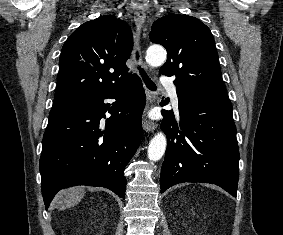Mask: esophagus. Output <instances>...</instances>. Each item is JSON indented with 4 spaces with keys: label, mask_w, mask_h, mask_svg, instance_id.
Instances as JSON below:
<instances>
[{
    "label": "esophagus",
    "mask_w": 283,
    "mask_h": 235,
    "mask_svg": "<svg viewBox=\"0 0 283 235\" xmlns=\"http://www.w3.org/2000/svg\"><path fill=\"white\" fill-rule=\"evenodd\" d=\"M145 18H146V13H145V10L143 8H137L134 11V21H135V24H136V26L139 30L142 29V27L145 23ZM141 63H142V66L144 68H147L146 64L143 61H141ZM146 94H147V104H146V108H145V116L143 118V129L146 132H152V131L155 130L157 125L154 121L147 118L146 113L153 106L155 95H154V93L150 92L149 90L146 91Z\"/></svg>",
    "instance_id": "34e87169"
}]
</instances>
